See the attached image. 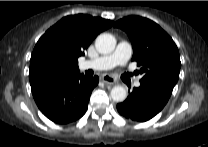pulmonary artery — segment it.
I'll use <instances>...</instances> for the list:
<instances>
[{"label":"pulmonary artery","mask_w":208,"mask_h":147,"mask_svg":"<svg viewBox=\"0 0 208 147\" xmlns=\"http://www.w3.org/2000/svg\"><path fill=\"white\" fill-rule=\"evenodd\" d=\"M132 55V47L126 41L118 43L114 52L97 57L92 60H85L80 63V69L108 70L117 65H125ZM135 87L140 86L139 79L134 82Z\"/></svg>","instance_id":"obj_1"}]
</instances>
